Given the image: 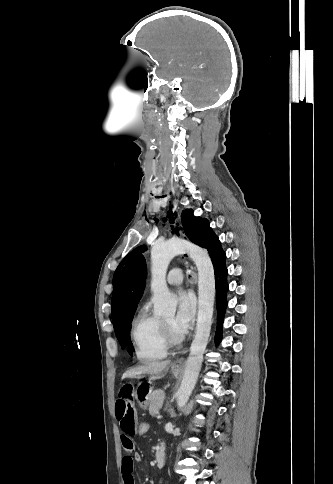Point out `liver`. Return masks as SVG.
Listing matches in <instances>:
<instances>
[{"instance_id":"liver-1","label":"liver","mask_w":333,"mask_h":484,"mask_svg":"<svg viewBox=\"0 0 333 484\" xmlns=\"http://www.w3.org/2000/svg\"><path fill=\"white\" fill-rule=\"evenodd\" d=\"M170 364L171 361L169 360L150 362L146 365L138 366L136 368L126 371L123 374L122 379L135 378L140 375H151L154 378H160V375L169 368Z\"/></svg>"}]
</instances>
